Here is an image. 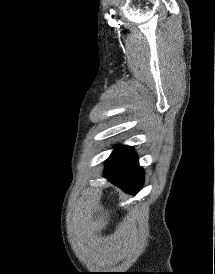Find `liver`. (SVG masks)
Returning <instances> with one entry per match:
<instances>
[{
	"label": "liver",
	"mask_w": 215,
	"mask_h": 274,
	"mask_svg": "<svg viewBox=\"0 0 215 274\" xmlns=\"http://www.w3.org/2000/svg\"><path fill=\"white\" fill-rule=\"evenodd\" d=\"M73 229L75 243L79 247L90 244L93 232H99L108 224L102 217L94 220L84 211L77 212L73 217Z\"/></svg>",
	"instance_id": "1"
}]
</instances>
